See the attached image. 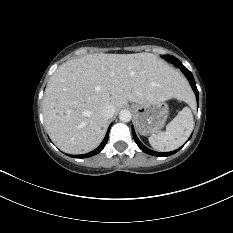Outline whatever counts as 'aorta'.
<instances>
[{
  "label": "aorta",
  "instance_id": "762f6f07",
  "mask_svg": "<svg viewBox=\"0 0 233 233\" xmlns=\"http://www.w3.org/2000/svg\"><path fill=\"white\" fill-rule=\"evenodd\" d=\"M132 114L129 110H122L119 113V119L122 122H129L131 120Z\"/></svg>",
  "mask_w": 233,
  "mask_h": 233
}]
</instances>
